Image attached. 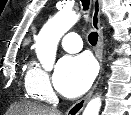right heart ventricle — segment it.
I'll use <instances>...</instances> for the list:
<instances>
[{"label": "right heart ventricle", "instance_id": "obj_1", "mask_svg": "<svg viewBox=\"0 0 131 115\" xmlns=\"http://www.w3.org/2000/svg\"><path fill=\"white\" fill-rule=\"evenodd\" d=\"M31 70V68L28 69L27 71V74L29 73V71ZM27 74H26V78H27ZM25 87H26V90H27V94H28V97L31 98V99H39V96L35 93H33L32 91H30L27 87V82L25 83Z\"/></svg>", "mask_w": 131, "mask_h": 115}]
</instances>
